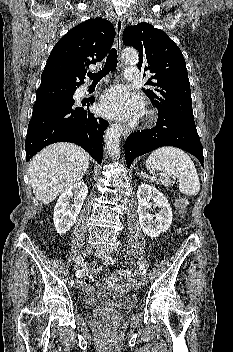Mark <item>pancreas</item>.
Listing matches in <instances>:
<instances>
[{
	"label": "pancreas",
	"mask_w": 233,
	"mask_h": 352,
	"mask_svg": "<svg viewBox=\"0 0 233 352\" xmlns=\"http://www.w3.org/2000/svg\"><path fill=\"white\" fill-rule=\"evenodd\" d=\"M159 182L165 187H168L170 185V182L167 179H161L158 181V183Z\"/></svg>",
	"instance_id": "pancreas-1"
}]
</instances>
